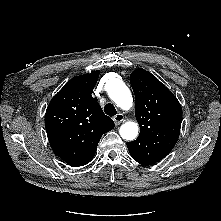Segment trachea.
I'll list each match as a JSON object with an SVG mask.
<instances>
[{
	"label": "trachea",
	"mask_w": 221,
	"mask_h": 221,
	"mask_svg": "<svg viewBox=\"0 0 221 221\" xmlns=\"http://www.w3.org/2000/svg\"><path fill=\"white\" fill-rule=\"evenodd\" d=\"M104 111L109 116H114L117 114L116 108L111 103L105 105Z\"/></svg>",
	"instance_id": "1"
}]
</instances>
